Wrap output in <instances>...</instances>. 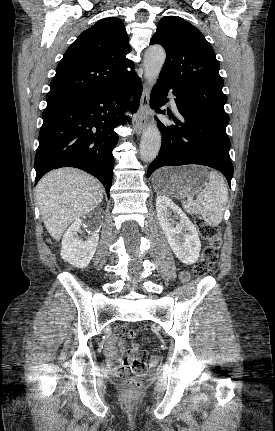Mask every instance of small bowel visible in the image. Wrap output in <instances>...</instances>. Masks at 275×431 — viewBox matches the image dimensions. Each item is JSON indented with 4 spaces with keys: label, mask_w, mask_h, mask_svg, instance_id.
I'll use <instances>...</instances> for the list:
<instances>
[{
    "label": "small bowel",
    "mask_w": 275,
    "mask_h": 431,
    "mask_svg": "<svg viewBox=\"0 0 275 431\" xmlns=\"http://www.w3.org/2000/svg\"><path fill=\"white\" fill-rule=\"evenodd\" d=\"M182 278L183 280H187L188 274L183 273ZM124 333H125V328L123 326L118 327L115 330L114 336L107 342L105 351L110 363L118 362L116 346H118L124 352V349H125L124 344L121 341V337L124 335ZM132 360H133L132 354L130 352H127L124 362H131Z\"/></svg>",
    "instance_id": "small-bowel-1"
}]
</instances>
